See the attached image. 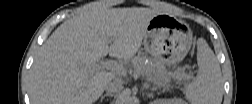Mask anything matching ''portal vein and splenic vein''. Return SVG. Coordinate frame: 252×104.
<instances>
[{
  "label": "portal vein and splenic vein",
  "instance_id": "obj_1",
  "mask_svg": "<svg viewBox=\"0 0 252 104\" xmlns=\"http://www.w3.org/2000/svg\"><path fill=\"white\" fill-rule=\"evenodd\" d=\"M95 68H106L108 70H111L112 72L119 74V75H126V71L122 66H120L117 62L115 61H105V62H100L98 65L95 66ZM190 78L189 76H187Z\"/></svg>",
  "mask_w": 252,
  "mask_h": 104
}]
</instances>
